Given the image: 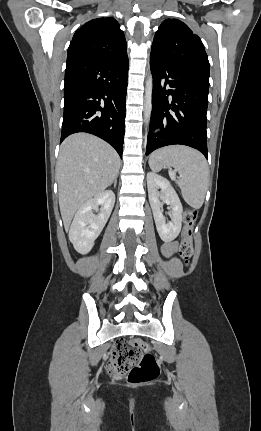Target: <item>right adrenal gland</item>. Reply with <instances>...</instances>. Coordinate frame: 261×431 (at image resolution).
<instances>
[{"instance_id": "1", "label": "right adrenal gland", "mask_w": 261, "mask_h": 431, "mask_svg": "<svg viewBox=\"0 0 261 431\" xmlns=\"http://www.w3.org/2000/svg\"><path fill=\"white\" fill-rule=\"evenodd\" d=\"M117 177H118V176H116V177L114 178V180H113L114 188H116V186H117Z\"/></svg>"}]
</instances>
